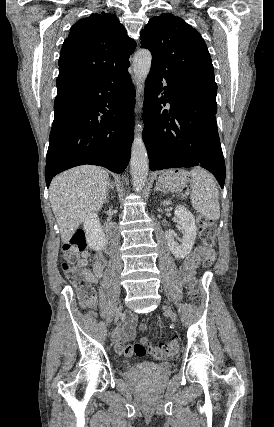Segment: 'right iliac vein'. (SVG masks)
Returning <instances> with one entry per match:
<instances>
[{
  "label": "right iliac vein",
  "mask_w": 274,
  "mask_h": 427,
  "mask_svg": "<svg viewBox=\"0 0 274 427\" xmlns=\"http://www.w3.org/2000/svg\"><path fill=\"white\" fill-rule=\"evenodd\" d=\"M122 310H123V306L121 305V306H119L118 311H117V313H116V315H115V323H116V322L118 321V319L121 317Z\"/></svg>",
  "instance_id": "obj_1"
}]
</instances>
